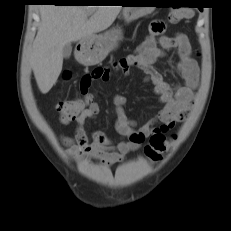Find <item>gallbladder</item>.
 I'll return each instance as SVG.
<instances>
[{"label": "gallbladder", "mask_w": 231, "mask_h": 231, "mask_svg": "<svg viewBox=\"0 0 231 231\" xmlns=\"http://www.w3.org/2000/svg\"><path fill=\"white\" fill-rule=\"evenodd\" d=\"M63 57L64 58H69L71 56L72 53V46L70 43H67L64 47H63Z\"/></svg>", "instance_id": "obj_1"}]
</instances>
